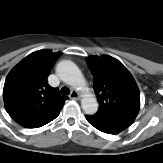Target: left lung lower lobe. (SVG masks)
Returning <instances> with one entry per match:
<instances>
[{
	"mask_svg": "<svg viewBox=\"0 0 163 163\" xmlns=\"http://www.w3.org/2000/svg\"><path fill=\"white\" fill-rule=\"evenodd\" d=\"M87 121L96 129L108 133L117 134L130 126L133 121L127 119L104 118L97 116H85Z\"/></svg>",
	"mask_w": 163,
	"mask_h": 163,
	"instance_id": "0a47b994",
	"label": "left lung lower lobe"
}]
</instances>
